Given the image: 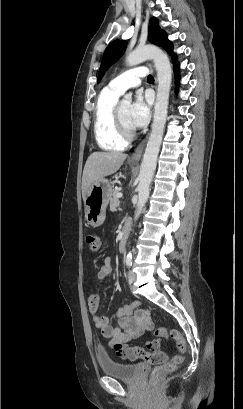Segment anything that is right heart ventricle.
<instances>
[{
	"label": "right heart ventricle",
	"mask_w": 243,
	"mask_h": 409,
	"mask_svg": "<svg viewBox=\"0 0 243 409\" xmlns=\"http://www.w3.org/2000/svg\"><path fill=\"white\" fill-rule=\"evenodd\" d=\"M121 94L105 87L99 94L94 121V134L99 147L107 151H121L127 142L117 133L114 124V109Z\"/></svg>",
	"instance_id": "obj_1"
}]
</instances>
